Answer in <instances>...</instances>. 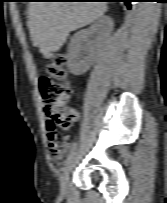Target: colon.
I'll return each instance as SVG.
<instances>
[{"label": "colon", "mask_w": 167, "mask_h": 203, "mask_svg": "<svg viewBox=\"0 0 167 203\" xmlns=\"http://www.w3.org/2000/svg\"><path fill=\"white\" fill-rule=\"evenodd\" d=\"M66 61L63 53L56 54L46 67L47 75L38 79L50 143L55 141L58 128L68 130L75 121L74 111L64 108L71 93L64 68Z\"/></svg>", "instance_id": "1"}]
</instances>
